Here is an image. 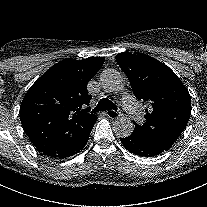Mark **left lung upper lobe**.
<instances>
[{"instance_id": "obj_1", "label": "left lung upper lobe", "mask_w": 207, "mask_h": 207, "mask_svg": "<svg viewBox=\"0 0 207 207\" xmlns=\"http://www.w3.org/2000/svg\"><path fill=\"white\" fill-rule=\"evenodd\" d=\"M137 99L148 104L145 123L135 124L138 132L168 150L184 131L191 115V97L176 74L146 54L128 52L116 56Z\"/></svg>"}]
</instances>
